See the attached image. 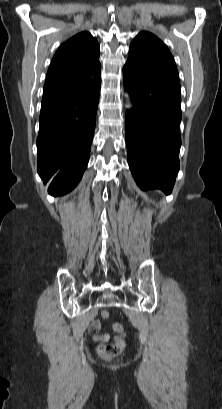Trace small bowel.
<instances>
[{
    "mask_svg": "<svg viewBox=\"0 0 222 409\" xmlns=\"http://www.w3.org/2000/svg\"><path fill=\"white\" fill-rule=\"evenodd\" d=\"M92 330L95 332L94 339L99 342H107L110 339V335L107 333L101 332V324L98 321H95L91 325Z\"/></svg>",
    "mask_w": 222,
    "mask_h": 409,
    "instance_id": "small-bowel-1",
    "label": "small bowel"
}]
</instances>
